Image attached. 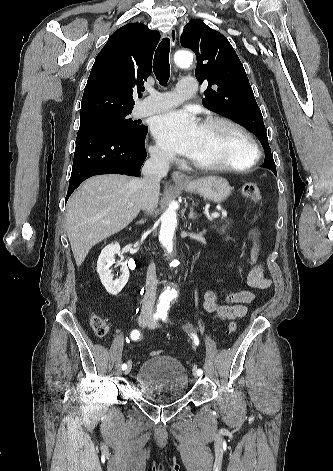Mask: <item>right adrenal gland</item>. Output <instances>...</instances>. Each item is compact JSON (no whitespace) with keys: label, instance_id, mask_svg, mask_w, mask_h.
<instances>
[{"label":"right adrenal gland","instance_id":"2a0ac1e0","mask_svg":"<svg viewBox=\"0 0 333 471\" xmlns=\"http://www.w3.org/2000/svg\"><path fill=\"white\" fill-rule=\"evenodd\" d=\"M146 218L145 219H141L138 224H143L145 222Z\"/></svg>","mask_w":333,"mask_h":471}]
</instances>
